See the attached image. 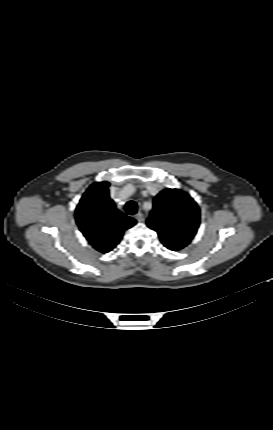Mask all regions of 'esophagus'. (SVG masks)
Masks as SVG:
<instances>
[{
    "mask_svg": "<svg viewBox=\"0 0 273 430\" xmlns=\"http://www.w3.org/2000/svg\"><path fill=\"white\" fill-rule=\"evenodd\" d=\"M134 218H135L137 221H139V222H143V221H144V215H143L141 212L137 213V214L134 216Z\"/></svg>",
    "mask_w": 273,
    "mask_h": 430,
    "instance_id": "34e87169",
    "label": "esophagus"
}]
</instances>
